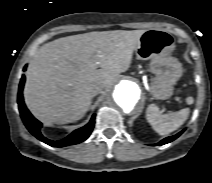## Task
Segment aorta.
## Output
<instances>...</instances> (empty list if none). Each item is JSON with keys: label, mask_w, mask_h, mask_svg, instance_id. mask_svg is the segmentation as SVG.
I'll return each instance as SVG.
<instances>
[{"label": "aorta", "mask_w": 212, "mask_h": 183, "mask_svg": "<svg viewBox=\"0 0 212 183\" xmlns=\"http://www.w3.org/2000/svg\"><path fill=\"white\" fill-rule=\"evenodd\" d=\"M140 96L138 84L130 80H121L113 88L111 102L119 110L130 113L138 105Z\"/></svg>", "instance_id": "762f6f07"}]
</instances>
